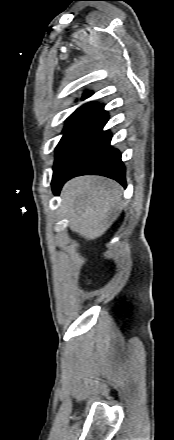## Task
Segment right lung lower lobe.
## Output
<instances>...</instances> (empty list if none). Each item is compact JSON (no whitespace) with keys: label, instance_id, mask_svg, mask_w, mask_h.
<instances>
[{"label":"right lung lower lobe","instance_id":"obj_1","mask_svg":"<svg viewBox=\"0 0 174 440\" xmlns=\"http://www.w3.org/2000/svg\"><path fill=\"white\" fill-rule=\"evenodd\" d=\"M107 121L108 113L104 110L103 106H101L96 119L94 132L78 163L69 174L52 184L53 192L56 195H58L67 180L75 176L87 174L106 176L126 187L125 166L121 160V154L110 145V131H103V127Z\"/></svg>","mask_w":174,"mask_h":440}]
</instances>
